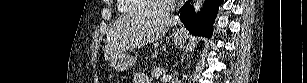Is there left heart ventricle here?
I'll list each match as a JSON object with an SVG mask.
<instances>
[{"instance_id": "1", "label": "left heart ventricle", "mask_w": 307, "mask_h": 83, "mask_svg": "<svg viewBox=\"0 0 307 83\" xmlns=\"http://www.w3.org/2000/svg\"><path fill=\"white\" fill-rule=\"evenodd\" d=\"M163 3H165V2H168L167 0H165V1H162Z\"/></svg>"}]
</instances>
